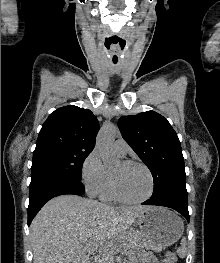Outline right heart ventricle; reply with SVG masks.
I'll return each instance as SVG.
<instances>
[{
	"mask_svg": "<svg viewBox=\"0 0 220 263\" xmlns=\"http://www.w3.org/2000/svg\"><path fill=\"white\" fill-rule=\"evenodd\" d=\"M107 172V181L106 184L103 188V190L101 191L100 195L102 197V199L104 200H114L116 199L113 191H112V185H111V172L109 170H106Z\"/></svg>",
	"mask_w": 220,
	"mask_h": 263,
	"instance_id": "e07e8e85",
	"label": "right heart ventricle"
}]
</instances>
